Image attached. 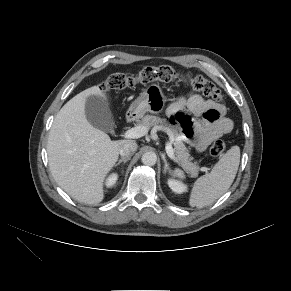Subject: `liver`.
Here are the masks:
<instances>
[{
  "mask_svg": "<svg viewBox=\"0 0 291 291\" xmlns=\"http://www.w3.org/2000/svg\"><path fill=\"white\" fill-rule=\"evenodd\" d=\"M107 100L99 85L70 99L57 113L49 132V167L57 184L73 199L98 204L104 199V181L118 160L120 149L131 140L112 141L86 118V98ZM136 143V142H135Z\"/></svg>",
  "mask_w": 291,
  "mask_h": 291,
  "instance_id": "6515ba94",
  "label": "liver"
}]
</instances>
